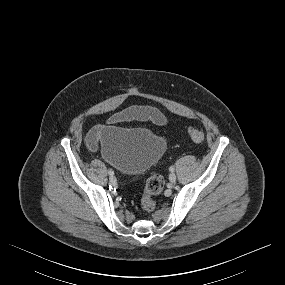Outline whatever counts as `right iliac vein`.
<instances>
[{
	"mask_svg": "<svg viewBox=\"0 0 285 285\" xmlns=\"http://www.w3.org/2000/svg\"><path fill=\"white\" fill-rule=\"evenodd\" d=\"M109 180H110L111 183H114V182H115V177H114L113 175H111V176L109 177Z\"/></svg>",
	"mask_w": 285,
	"mask_h": 285,
	"instance_id": "obj_1",
	"label": "right iliac vein"
}]
</instances>
